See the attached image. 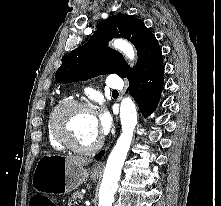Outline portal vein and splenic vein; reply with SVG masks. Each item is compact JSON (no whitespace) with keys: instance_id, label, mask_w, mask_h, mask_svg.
<instances>
[{"instance_id":"1","label":"portal vein and splenic vein","mask_w":221,"mask_h":206,"mask_svg":"<svg viewBox=\"0 0 221 206\" xmlns=\"http://www.w3.org/2000/svg\"><path fill=\"white\" fill-rule=\"evenodd\" d=\"M79 199L80 200H82L83 199V195L81 194V195H79Z\"/></svg>"}]
</instances>
